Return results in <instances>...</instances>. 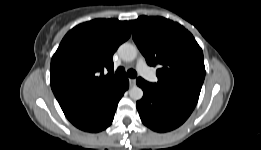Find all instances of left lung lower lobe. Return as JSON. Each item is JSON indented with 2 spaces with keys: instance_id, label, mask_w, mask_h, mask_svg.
Instances as JSON below:
<instances>
[{
  "instance_id": "obj_1",
  "label": "left lung lower lobe",
  "mask_w": 261,
  "mask_h": 150,
  "mask_svg": "<svg viewBox=\"0 0 261 150\" xmlns=\"http://www.w3.org/2000/svg\"><path fill=\"white\" fill-rule=\"evenodd\" d=\"M137 85L143 89V98L137 102L142 122L157 132H166L180 126L192 113L199 95L182 88L159 87L142 78Z\"/></svg>"
}]
</instances>
